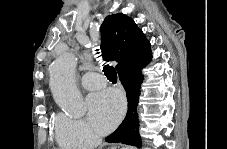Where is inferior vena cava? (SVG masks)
Listing matches in <instances>:
<instances>
[{"label": "inferior vena cava", "instance_id": "1", "mask_svg": "<svg viewBox=\"0 0 227 149\" xmlns=\"http://www.w3.org/2000/svg\"><path fill=\"white\" fill-rule=\"evenodd\" d=\"M96 142H97V143H100V142H101V137L98 136V135H96Z\"/></svg>", "mask_w": 227, "mask_h": 149}]
</instances>
